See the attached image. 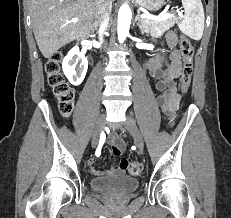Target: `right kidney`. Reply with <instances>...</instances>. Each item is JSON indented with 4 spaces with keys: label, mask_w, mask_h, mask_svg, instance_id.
Listing matches in <instances>:
<instances>
[{
    "label": "right kidney",
    "mask_w": 231,
    "mask_h": 218,
    "mask_svg": "<svg viewBox=\"0 0 231 218\" xmlns=\"http://www.w3.org/2000/svg\"><path fill=\"white\" fill-rule=\"evenodd\" d=\"M62 68L71 84L80 85L85 78L88 61L85 55L79 51V48L75 46L64 58Z\"/></svg>",
    "instance_id": "ca27d5eb"
}]
</instances>
